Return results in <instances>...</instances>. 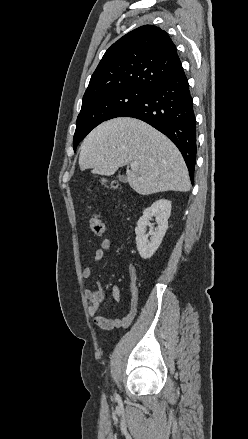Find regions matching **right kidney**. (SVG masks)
I'll list each match as a JSON object with an SVG mask.
<instances>
[{"mask_svg":"<svg viewBox=\"0 0 248 439\" xmlns=\"http://www.w3.org/2000/svg\"><path fill=\"white\" fill-rule=\"evenodd\" d=\"M171 208V201L160 199L144 210L135 228L136 245L141 258H151L160 246L168 229V219L171 214ZM152 217H155L157 223L155 229L153 224L150 223ZM147 226L150 227L148 234H146ZM149 236H151L150 241L148 240Z\"/></svg>","mask_w":248,"mask_h":439,"instance_id":"obj_1","label":"right kidney"}]
</instances>
